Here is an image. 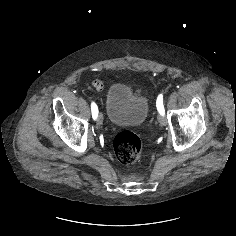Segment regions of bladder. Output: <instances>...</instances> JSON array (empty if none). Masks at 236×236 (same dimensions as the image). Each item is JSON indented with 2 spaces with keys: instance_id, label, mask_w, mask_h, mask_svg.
Returning <instances> with one entry per match:
<instances>
[{
  "instance_id": "bladder-1",
  "label": "bladder",
  "mask_w": 236,
  "mask_h": 236,
  "mask_svg": "<svg viewBox=\"0 0 236 236\" xmlns=\"http://www.w3.org/2000/svg\"><path fill=\"white\" fill-rule=\"evenodd\" d=\"M105 110L112 124L136 127L146 120L149 101L146 96L134 92L129 85L114 83L107 90Z\"/></svg>"
}]
</instances>
